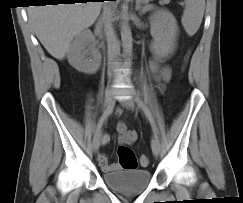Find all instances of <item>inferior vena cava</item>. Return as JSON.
I'll return each mask as SVG.
<instances>
[{
	"mask_svg": "<svg viewBox=\"0 0 243 203\" xmlns=\"http://www.w3.org/2000/svg\"><path fill=\"white\" fill-rule=\"evenodd\" d=\"M102 23L107 39L108 47V74L112 76L116 74L118 66V58L120 55V46L113 27V16L109 9H105L102 15Z\"/></svg>",
	"mask_w": 243,
	"mask_h": 203,
	"instance_id": "602c4592",
	"label": "inferior vena cava"
}]
</instances>
